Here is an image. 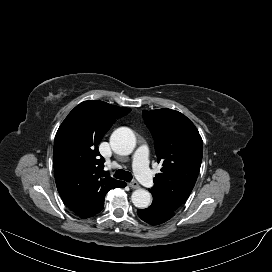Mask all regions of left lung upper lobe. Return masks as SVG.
<instances>
[{
  "instance_id": "1",
  "label": "left lung upper lobe",
  "mask_w": 272,
  "mask_h": 272,
  "mask_svg": "<svg viewBox=\"0 0 272 272\" xmlns=\"http://www.w3.org/2000/svg\"><path fill=\"white\" fill-rule=\"evenodd\" d=\"M151 131L161 173L149 189L153 201L176 211L189 197L200 170L202 138L195 125L182 113L171 109L142 111Z\"/></svg>"
}]
</instances>
